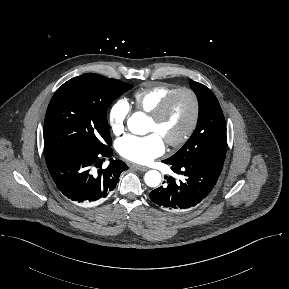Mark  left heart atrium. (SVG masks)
<instances>
[{
  "mask_svg": "<svg viewBox=\"0 0 289 289\" xmlns=\"http://www.w3.org/2000/svg\"><path fill=\"white\" fill-rule=\"evenodd\" d=\"M116 146L120 156L139 164L150 163L165 151L163 139L154 132L146 136L127 135Z\"/></svg>",
  "mask_w": 289,
  "mask_h": 289,
  "instance_id": "1",
  "label": "left heart atrium"
}]
</instances>
